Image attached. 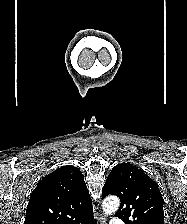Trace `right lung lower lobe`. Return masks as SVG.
I'll use <instances>...</instances> for the list:
<instances>
[{
	"label": "right lung lower lobe",
	"mask_w": 187,
	"mask_h": 224,
	"mask_svg": "<svg viewBox=\"0 0 187 224\" xmlns=\"http://www.w3.org/2000/svg\"><path fill=\"white\" fill-rule=\"evenodd\" d=\"M89 224H97L96 220L89 222Z\"/></svg>",
	"instance_id": "right-lung-lower-lobe-1"
}]
</instances>
